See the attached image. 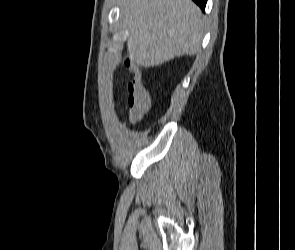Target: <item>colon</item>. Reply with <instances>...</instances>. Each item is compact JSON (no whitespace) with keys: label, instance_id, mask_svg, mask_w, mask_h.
<instances>
[{"label":"colon","instance_id":"5ec220e1","mask_svg":"<svg viewBox=\"0 0 295 250\" xmlns=\"http://www.w3.org/2000/svg\"><path fill=\"white\" fill-rule=\"evenodd\" d=\"M127 92L129 120L137 122L143 118L149 109V93L143 84L142 77H134L127 85Z\"/></svg>","mask_w":295,"mask_h":250}]
</instances>
